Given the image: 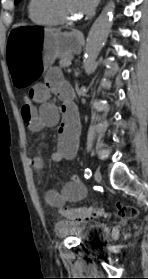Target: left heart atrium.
<instances>
[{
  "label": "left heart atrium",
  "instance_id": "left-heart-atrium-1",
  "mask_svg": "<svg viewBox=\"0 0 148 279\" xmlns=\"http://www.w3.org/2000/svg\"><path fill=\"white\" fill-rule=\"evenodd\" d=\"M99 0H76L80 14L88 15L94 11Z\"/></svg>",
  "mask_w": 148,
  "mask_h": 279
}]
</instances>
